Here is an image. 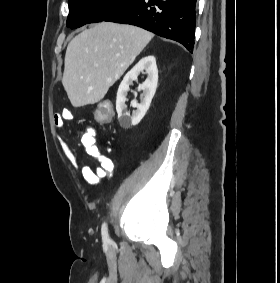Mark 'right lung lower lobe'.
I'll use <instances>...</instances> for the list:
<instances>
[{"label":"right lung lower lobe","mask_w":280,"mask_h":283,"mask_svg":"<svg viewBox=\"0 0 280 283\" xmlns=\"http://www.w3.org/2000/svg\"><path fill=\"white\" fill-rule=\"evenodd\" d=\"M104 21L135 25L194 47L196 0H132Z\"/></svg>","instance_id":"obj_1"}]
</instances>
